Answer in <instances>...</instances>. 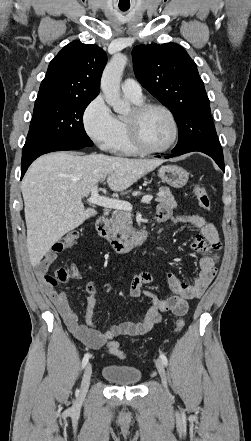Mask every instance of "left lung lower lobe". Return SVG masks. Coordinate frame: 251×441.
Listing matches in <instances>:
<instances>
[{
    "label": "left lung lower lobe",
    "mask_w": 251,
    "mask_h": 441,
    "mask_svg": "<svg viewBox=\"0 0 251 441\" xmlns=\"http://www.w3.org/2000/svg\"><path fill=\"white\" fill-rule=\"evenodd\" d=\"M199 151L209 155L224 171V158L212 118L202 116L179 129V138L170 158L185 153ZM160 157V156H157Z\"/></svg>",
    "instance_id": "obj_1"
}]
</instances>
